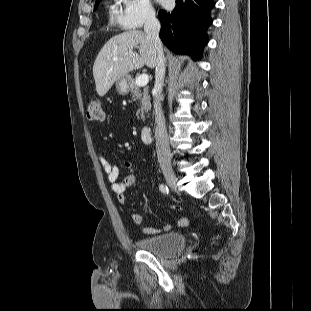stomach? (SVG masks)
<instances>
[{
    "label": "stomach",
    "mask_w": 311,
    "mask_h": 311,
    "mask_svg": "<svg viewBox=\"0 0 311 311\" xmlns=\"http://www.w3.org/2000/svg\"><path fill=\"white\" fill-rule=\"evenodd\" d=\"M131 78L126 75L115 82L116 90L120 95H126L130 91Z\"/></svg>",
    "instance_id": "obj_1"
}]
</instances>
